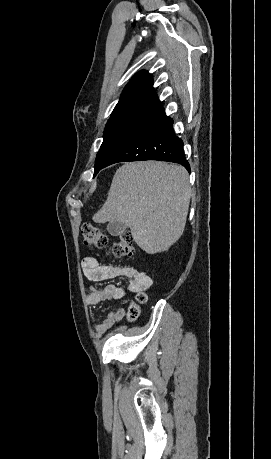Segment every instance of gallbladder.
Here are the masks:
<instances>
[{"instance_id": "1", "label": "gallbladder", "mask_w": 271, "mask_h": 459, "mask_svg": "<svg viewBox=\"0 0 271 459\" xmlns=\"http://www.w3.org/2000/svg\"><path fill=\"white\" fill-rule=\"evenodd\" d=\"M126 228H128V226H126V224H121V222H109L107 226L111 235H121Z\"/></svg>"}]
</instances>
